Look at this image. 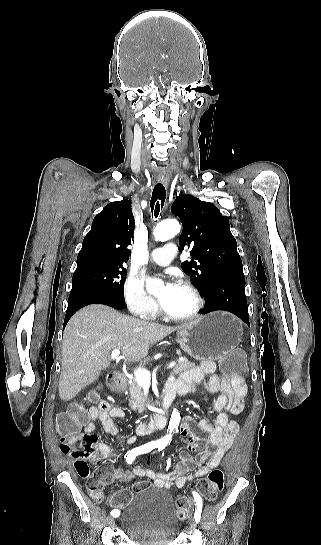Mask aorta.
<instances>
[{
  "mask_svg": "<svg viewBox=\"0 0 321 545\" xmlns=\"http://www.w3.org/2000/svg\"><path fill=\"white\" fill-rule=\"evenodd\" d=\"M181 226L177 220L171 219V220H165L159 223L153 232V235L156 239V241H167L171 238H173L175 235H177L180 232ZM160 283L157 281H153L151 279L147 280V290L151 293H157ZM180 414L174 410L171 419L169 422V434L166 435L161 441L164 444H167L171 438H172V432L178 427L180 422Z\"/></svg>",
  "mask_w": 321,
  "mask_h": 545,
  "instance_id": "obj_1",
  "label": "aorta"
}]
</instances>
